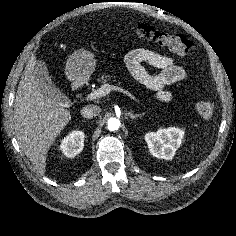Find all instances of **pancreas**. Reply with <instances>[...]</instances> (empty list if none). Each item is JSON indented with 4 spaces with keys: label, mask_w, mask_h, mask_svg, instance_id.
I'll use <instances>...</instances> for the list:
<instances>
[{
    "label": "pancreas",
    "mask_w": 236,
    "mask_h": 236,
    "mask_svg": "<svg viewBox=\"0 0 236 236\" xmlns=\"http://www.w3.org/2000/svg\"><path fill=\"white\" fill-rule=\"evenodd\" d=\"M110 80H111V76L108 73H103L101 77L98 79V81L101 82V84L103 85L106 84Z\"/></svg>",
    "instance_id": "obj_1"
}]
</instances>
